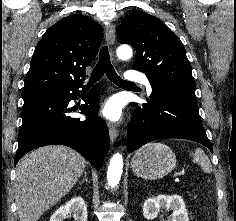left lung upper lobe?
I'll list each match as a JSON object with an SVG mask.
<instances>
[{"instance_id": "1", "label": "left lung upper lobe", "mask_w": 236, "mask_h": 221, "mask_svg": "<svg viewBox=\"0 0 236 221\" xmlns=\"http://www.w3.org/2000/svg\"><path fill=\"white\" fill-rule=\"evenodd\" d=\"M117 36L120 43L134 47L132 69L144 72L152 85L195 91L185 48L160 19L133 11L117 28Z\"/></svg>"}]
</instances>
